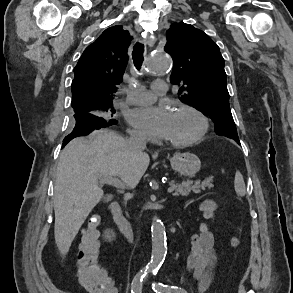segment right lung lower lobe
I'll return each instance as SVG.
<instances>
[{"instance_id": "1", "label": "right lung lower lobe", "mask_w": 293, "mask_h": 293, "mask_svg": "<svg viewBox=\"0 0 293 293\" xmlns=\"http://www.w3.org/2000/svg\"><path fill=\"white\" fill-rule=\"evenodd\" d=\"M74 118L75 126L72 132L64 138L62 148L75 137L87 135L94 129L117 124V121L114 119H106L90 113H77L74 114Z\"/></svg>"}]
</instances>
